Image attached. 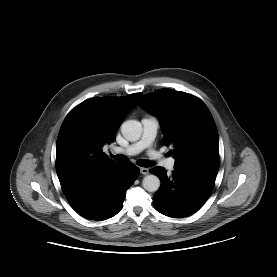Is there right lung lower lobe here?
<instances>
[{
  "mask_svg": "<svg viewBox=\"0 0 277 277\" xmlns=\"http://www.w3.org/2000/svg\"><path fill=\"white\" fill-rule=\"evenodd\" d=\"M139 171L132 163H114L62 187V190L79 215L101 221L122 209L126 191Z\"/></svg>",
  "mask_w": 277,
  "mask_h": 277,
  "instance_id": "1",
  "label": "right lung lower lobe"
}]
</instances>
